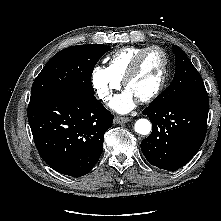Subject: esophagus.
Here are the masks:
<instances>
[{
	"label": "esophagus",
	"mask_w": 221,
	"mask_h": 221,
	"mask_svg": "<svg viewBox=\"0 0 221 221\" xmlns=\"http://www.w3.org/2000/svg\"><path fill=\"white\" fill-rule=\"evenodd\" d=\"M129 121H130V118H127V117L116 116L114 118V122L116 124H122V123H126V122H129Z\"/></svg>",
	"instance_id": "esophagus-1"
}]
</instances>
